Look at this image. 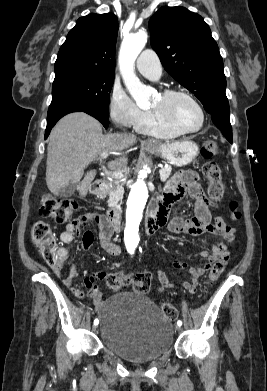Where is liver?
<instances>
[{
  "label": "liver",
  "instance_id": "liver-1",
  "mask_svg": "<svg viewBox=\"0 0 267 391\" xmlns=\"http://www.w3.org/2000/svg\"><path fill=\"white\" fill-rule=\"evenodd\" d=\"M133 135H103L101 124L84 112H75L63 117L52 129L47 147L46 183L53 194L61 193L79 182L87 164L101 154L115 156L108 163L113 171H122L128 164L127 149L136 143ZM96 172L86 174L79 185L85 196Z\"/></svg>",
  "mask_w": 267,
  "mask_h": 391
}]
</instances>
